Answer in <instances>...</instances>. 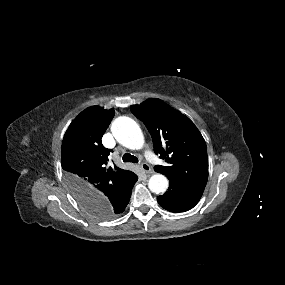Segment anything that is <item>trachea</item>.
I'll return each mask as SVG.
<instances>
[{
    "mask_svg": "<svg viewBox=\"0 0 285 285\" xmlns=\"http://www.w3.org/2000/svg\"><path fill=\"white\" fill-rule=\"evenodd\" d=\"M123 162H131V163H138V158L134 155H131L129 153H125L122 156Z\"/></svg>",
    "mask_w": 285,
    "mask_h": 285,
    "instance_id": "1",
    "label": "trachea"
}]
</instances>
